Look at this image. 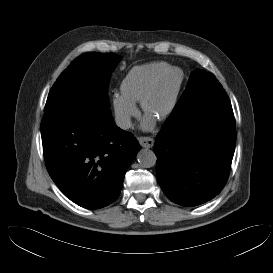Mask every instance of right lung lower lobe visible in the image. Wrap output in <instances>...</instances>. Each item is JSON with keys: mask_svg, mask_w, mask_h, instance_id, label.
I'll use <instances>...</instances> for the list:
<instances>
[{"mask_svg": "<svg viewBox=\"0 0 273 273\" xmlns=\"http://www.w3.org/2000/svg\"><path fill=\"white\" fill-rule=\"evenodd\" d=\"M41 136L51 178L88 209L114 202L139 151L133 134L116 126L109 107L91 101L55 106L43 116Z\"/></svg>", "mask_w": 273, "mask_h": 273, "instance_id": "1", "label": "right lung lower lobe"}]
</instances>
